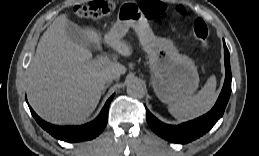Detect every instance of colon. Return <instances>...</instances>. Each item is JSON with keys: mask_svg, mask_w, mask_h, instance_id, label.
<instances>
[{"mask_svg": "<svg viewBox=\"0 0 259 156\" xmlns=\"http://www.w3.org/2000/svg\"><path fill=\"white\" fill-rule=\"evenodd\" d=\"M140 8L148 19H156L164 13V5L157 0H144ZM115 10V4L110 0H95L74 7V14L79 18L98 19L109 16ZM192 33L198 42L200 49L209 47V31L206 23L196 19L192 25Z\"/></svg>", "mask_w": 259, "mask_h": 156, "instance_id": "obj_1", "label": "colon"}]
</instances>
